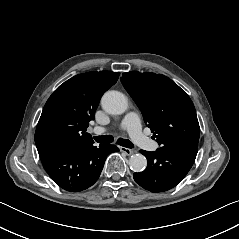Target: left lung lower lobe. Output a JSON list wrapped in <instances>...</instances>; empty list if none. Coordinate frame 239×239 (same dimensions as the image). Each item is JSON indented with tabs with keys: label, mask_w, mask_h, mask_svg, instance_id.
I'll list each match as a JSON object with an SVG mask.
<instances>
[{
	"label": "left lung lower lobe",
	"mask_w": 239,
	"mask_h": 239,
	"mask_svg": "<svg viewBox=\"0 0 239 239\" xmlns=\"http://www.w3.org/2000/svg\"><path fill=\"white\" fill-rule=\"evenodd\" d=\"M198 148L173 146L155 152L141 150L147 158V168L134 173V180L151 192H163L175 187L192 167Z\"/></svg>",
	"instance_id": "1"
}]
</instances>
